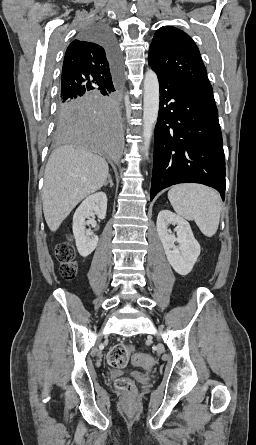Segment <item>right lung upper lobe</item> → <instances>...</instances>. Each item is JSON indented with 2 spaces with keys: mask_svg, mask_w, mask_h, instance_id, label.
I'll return each mask as SVG.
<instances>
[{
  "mask_svg": "<svg viewBox=\"0 0 256 445\" xmlns=\"http://www.w3.org/2000/svg\"><path fill=\"white\" fill-rule=\"evenodd\" d=\"M117 75L105 49L81 33L66 50L59 101L111 89Z\"/></svg>",
  "mask_w": 256,
  "mask_h": 445,
  "instance_id": "right-lung-upper-lobe-1",
  "label": "right lung upper lobe"
}]
</instances>
